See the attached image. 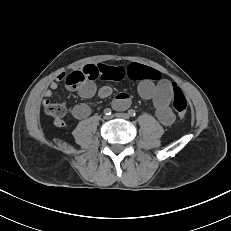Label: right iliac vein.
I'll return each instance as SVG.
<instances>
[{
  "mask_svg": "<svg viewBox=\"0 0 231 231\" xmlns=\"http://www.w3.org/2000/svg\"><path fill=\"white\" fill-rule=\"evenodd\" d=\"M104 118H105V119H109V117H108V116H104Z\"/></svg>",
  "mask_w": 231,
  "mask_h": 231,
  "instance_id": "63e3f726",
  "label": "right iliac vein"
}]
</instances>
